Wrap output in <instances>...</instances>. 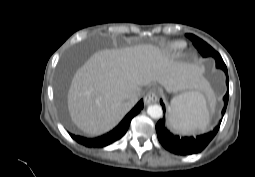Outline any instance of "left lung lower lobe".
Here are the masks:
<instances>
[{
    "label": "left lung lower lobe",
    "mask_w": 255,
    "mask_h": 177,
    "mask_svg": "<svg viewBox=\"0 0 255 177\" xmlns=\"http://www.w3.org/2000/svg\"><path fill=\"white\" fill-rule=\"evenodd\" d=\"M226 84L228 86V74H226ZM229 99V90L223 97L224 107L222 109V115L225 114ZM163 111L165 113V106L161 101ZM221 121L218 126L206 134L199 135L197 137H180L179 135L172 134L165 125V116L156 124V132L158 139L162 146L169 152L176 155H191L201 152L211 142L219 130Z\"/></svg>",
    "instance_id": "0a47b994"
}]
</instances>
